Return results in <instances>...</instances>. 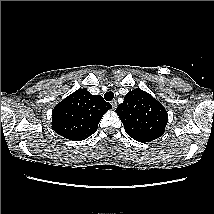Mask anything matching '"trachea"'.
Returning a JSON list of instances; mask_svg holds the SVG:
<instances>
[{
    "label": "trachea",
    "instance_id": "obj_1",
    "mask_svg": "<svg viewBox=\"0 0 214 214\" xmlns=\"http://www.w3.org/2000/svg\"><path fill=\"white\" fill-rule=\"evenodd\" d=\"M104 98L106 101H111L114 98V93L112 91L106 92Z\"/></svg>",
    "mask_w": 214,
    "mask_h": 214
}]
</instances>
